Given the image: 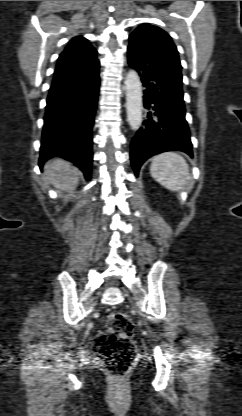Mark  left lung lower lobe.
<instances>
[{"mask_svg": "<svg viewBox=\"0 0 242 416\" xmlns=\"http://www.w3.org/2000/svg\"><path fill=\"white\" fill-rule=\"evenodd\" d=\"M129 39L128 63L141 77L147 110L131 142L130 159L138 176L141 165L161 152L177 150L192 156V143L185 119L182 77L161 51L137 38Z\"/></svg>", "mask_w": 242, "mask_h": 416, "instance_id": "0a47b994", "label": "left lung lower lobe"}]
</instances>
